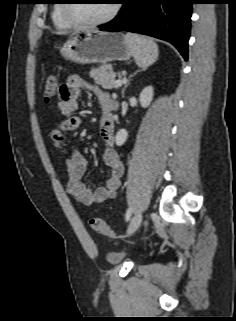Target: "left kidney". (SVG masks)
I'll return each instance as SVG.
<instances>
[{"label":"left kidney","mask_w":236,"mask_h":321,"mask_svg":"<svg viewBox=\"0 0 236 321\" xmlns=\"http://www.w3.org/2000/svg\"><path fill=\"white\" fill-rule=\"evenodd\" d=\"M154 96V90L152 86H148L142 90L139 97V102L143 108L150 105ZM128 138V132L125 129H121L115 136V142L118 146L123 145Z\"/></svg>","instance_id":"left-kidney-1"}]
</instances>
